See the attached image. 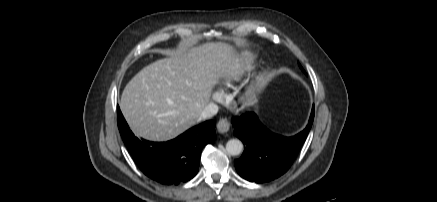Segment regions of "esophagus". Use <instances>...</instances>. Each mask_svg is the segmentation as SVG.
Returning <instances> with one entry per match:
<instances>
[{"instance_id":"esophagus-1","label":"esophagus","mask_w":437,"mask_h":202,"mask_svg":"<svg viewBox=\"0 0 437 202\" xmlns=\"http://www.w3.org/2000/svg\"><path fill=\"white\" fill-rule=\"evenodd\" d=\"M229 128H230V123L227 119H221L217 123V129L222 134L228 132Z\"/></svg>"}]
</instances>
